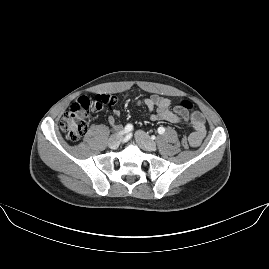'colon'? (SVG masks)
<instances>
[{"label":"colon","instance_id":"1","mask_svg":"<svg viewBox=\"0 0 269 269\" xmlns=\"http://www.w3.org/2000/svg\"><path fill=\"white\" fill-rule=\"evenodd\" d=\"M110 102L111 98L109 96H98L91 99L89 95H81L61 119L60 128L63 135L70 141L81 140L88 130L89 116L105 107L103 104H109ZM179 106L188 111L193 109V104L186 99L180 100ZM180 138L181 148H188L187 135L182 133Z\"/></svg>","mask_w":269,"mask_h":269}]
</instances>
